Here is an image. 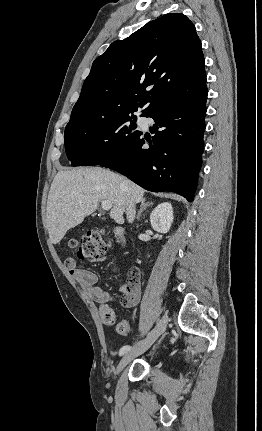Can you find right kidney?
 Listing matches in <instances>:
<instances>
[{"mask_svg": "<svg viewBox=\"0 0 262 431\" xmlns=\"http://www.w3.org/2000/svg\"><path fill=\"white\" fill-rule=\"evenodd\" d=\"M150 221L152 228L159 233L169 231L173 222V209L170 203L159 204L151 213Z\"/></svg>", "mask_w": 262, "mask_h": 431, "instance_id": "ca27d5eb", "label": "right kidney"}]
</instances>
